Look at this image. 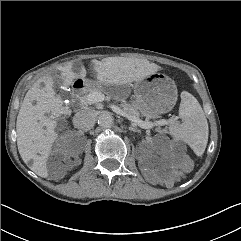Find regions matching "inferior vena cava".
<instances>
[{"label":"inferior vena cava","mask_w":241,"mask_h":241,"mask_svg":"<svg viewBox=\"0 0 241 241\" xmlns=\"http://www.w3.org/2000/svg\"><path fill=\"white\" fill-rule=\"evenodd\" d=\"M96 117L97 114L94 109H84L75 114L73 124L76 128L87 131L95 125Z\"/></svg>","instance_id":"obj_1"}]
</instances>
